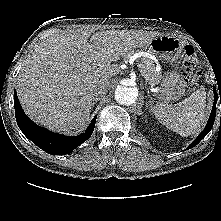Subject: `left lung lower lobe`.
<instances>
[{"instance_id": "0a47b994", "label": "left lung lower lobe", "mask_w": 221, "mask_h": 221, "mask_svg": "<svg viewBox=\"0 0 221 221\" xmlns=\"http://www.w3.org/2000/svg\"><path fill=\"white\" fill-rule=\"evenodd\" d=\"M213 91H214V96H215V99H214V103H213V107H212V111H211V114H210V118L207 122V125L205 127V129L200 133V135L194 140V142H192L189 147L187 149H190V148H193L195 147L207 134L208 132L211 130V128L213 127V124H214V120H215V116H216V103H217V100H218V94L216 92V88L214 87L213 88ZM219 95H220V103H221V91L219 89Z\"/></svg>"}]
</instances>
